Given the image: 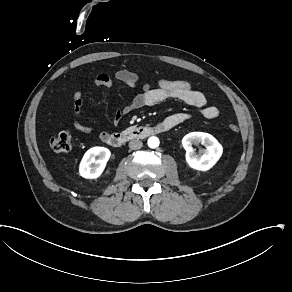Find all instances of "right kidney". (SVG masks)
Segmentation results:
<instances>
[{"label": "right kidney", "instance_id": "1", "mask_svg": "<svg viewBox=\"0 0 292 292\" xmlns=\"http://www.w3.org/2000/svg\"><path fill=\"white\" fill-rule=\"evenodd\" d=\"M110 156L111 151L108 148L100 146L90 148L79 164V175L85 179L99 178L104 172Z\"/></svg>", "mask_w": 292, "mask_h": 292}]
</instances>
